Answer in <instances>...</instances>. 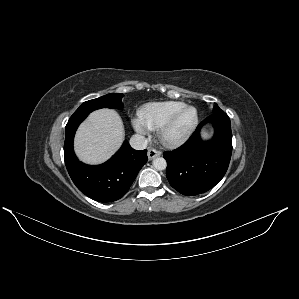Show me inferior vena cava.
Wrapping results in <instances>:
<instances>
[{
	"label": "inferior vena cava",
	"instance_id": "inferior-vena-cava-1",
	"mask_svg": "<svg viewBox=\"0 0 299 299\" xmlns=\"http://www.w3.org/2000/svg\"><path fill=\"white\" fill-rule=\"evenodd\" d=\"M147 139L142 136L135 134L130 138V145L136 150H143L147 147Z\"/></svg>",
	"mask_w": 299,
	"mask_h": 299
}]
</instances>
